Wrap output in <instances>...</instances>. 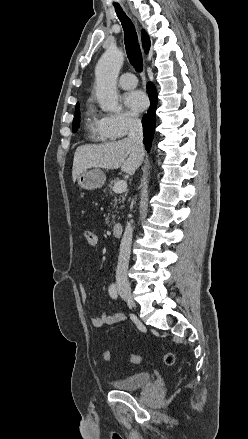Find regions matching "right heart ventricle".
<instances>
[{
	"label": "right heart ventricle",
	"mask_w": 248,
	"mask_h": 439,
	"mask_svg": "<svg viewBox=\"0 0 248 439\" xmlns=\"http://www.w3.org/2000/svg\"><path fill=\"white\" fill-rule=\"evenodd\" d=\"M85 125L90 135L95 139L102 141L114 139L104 131L101 118L98 117L90 102L85 110Z\"/></svg>",
	"instance_id": "obj_1"
}]
</instances>
